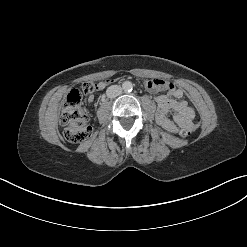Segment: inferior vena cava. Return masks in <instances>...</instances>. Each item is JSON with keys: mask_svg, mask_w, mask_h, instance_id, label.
<instances>
[{"mask_svg": "<svg viewBox=\"0 0 247 247\" xmlns=\"http://www.w3.org/2000/svg\"><path fill=\"white\" fill-rule=\"evenodd\" d=\"M122 93V88L119 85H112L107 88L106 94L109 98H115Z\"/></svg>", "mask_w": 247, "mask_h": 247, "instance_id": "602c4592", "label": "inferior vena cava"}]
</instances>
